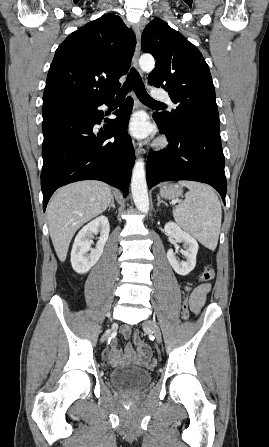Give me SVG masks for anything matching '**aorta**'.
I'll use <instances>...</instances> for the list:
<instances>
[{
  "instance_id": "1",
  "label": "aorta",
  "mask_w": 269,
  "mask_h": 447,
  "mask_svg": "<svg viewBox=\"0 0 269 447\" xmlns=\"http://www.w3.org/2000/svg\"><path fill=\"white\" fill-rule=\"evenodd\" d=\"M139 66L142 72H152L153 68H155L153 56H151V54H143V56L139 58ZM131 190L136 208H138L140 212H143V214H148L149 198L142 158H139V160L135 162L131 180Z\"/></svg>"
}]
</instances>
